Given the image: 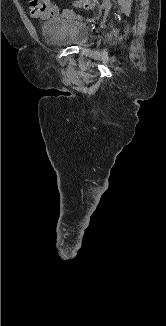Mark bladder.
I'll list each match as a JSON object with an SVG mask.
<instances>
[{
    "mask_svg": "<svg viewBox=\"0 0 166 326\" xmlns=\"http://www.w3.org/2000/svg\"><path fill=\"white\" fill-rule=\"evenodd\" d=\"M46 42L56 46H84L88 42L89 30L76 18L52 17L42 24Z\"/></svg>",
    "mask_w": 166,
    "mask_h": 326,
    "instance_id": "bladder-1",
    "label": "bladder"
}]
</instances>
